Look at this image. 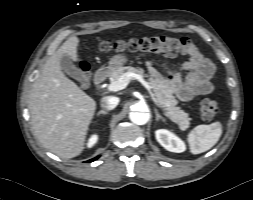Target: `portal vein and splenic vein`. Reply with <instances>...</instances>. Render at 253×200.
<instances>
[{
	"mask_svg": "<svg viewBox=\"0 0 253 200\" xmlns=\"http://www.w3.org/2000/svg\"><path fill=\"white\" fill-rule=\"evenodd\" d=\"M131 80H138L147 89V91L149 92V94H150L152 100L154 101V103L156 104V106L161 108L157 102V99L155 98V96L151 90V86L143 78L142 75H139V74H136L133 72L125 73L117 81L111 82L108 85L107 89H108V91H111V92H117L119 90L125 89Z\"/></svg>",
	"mask_w": 253,
	"mask_h": 200,
	"instance_id": "1",
	"label": "portal vein and splenic vein"
}]
</instances>
